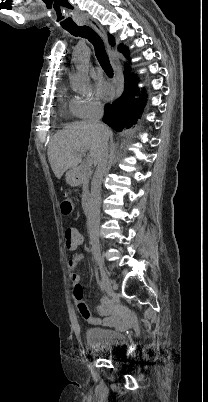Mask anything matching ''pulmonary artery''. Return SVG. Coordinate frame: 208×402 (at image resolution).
<instances>
[{"mask_svg": "<svg viewBox=\"0 0 208 402\" xmlns=\"http://www.w3.org/2000/svg\"><path fill=\"white\" fill-rule=\"evenodd\" d=\"M81 54V52L79 53V55ZM91 72L92 73H97V75H99V76H102V75H104V73H105V70H104V68H102V67H99V68H91Z\"/></svg>", "mask_w": 208, "mask_h": 402, "instance_id": "e3ab8cb5", "label": "pulmonary artery"}]
</instances>
